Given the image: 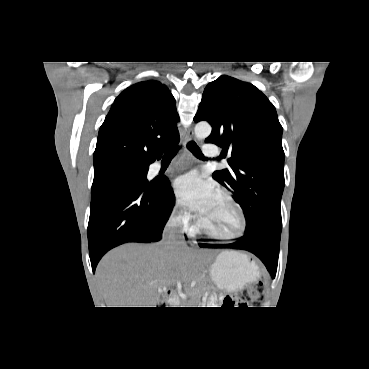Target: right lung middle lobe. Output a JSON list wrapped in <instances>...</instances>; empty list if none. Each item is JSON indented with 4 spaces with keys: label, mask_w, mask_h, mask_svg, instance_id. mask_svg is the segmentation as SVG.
<instances>
[{
    "label": "right lung middle lobe",
    "mask_w": 369,
    "mask_h": 369,
    "mask_svg": "<svg viewBox=\"0 0 369 369\" xmlns=\"http://www.w3.org/2000/svg\"><path fill=\"white\" fill-rule=\"evenodd\" d=\"M149 164L132 163L126 161H112L94 165V180L92 184V195L105 187L111 181L122 176H133L144 185H152L157 180L148 182L146 175Z\"/></svg>",
    "instance_id": "right-lung-middle-lobe-1"
}]
</instances>
